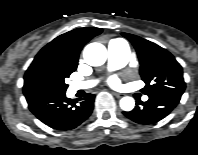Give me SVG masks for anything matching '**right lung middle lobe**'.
<instances>
[{"mask_svg":"<svg viewBox=\"0 0 198 155\" xmlns=\"http://www.w3.org/2000/svg\"><path fill=\"white\" fill-rule=\"evenodd\" d=\"M76 69L60 61H43L28 68L23 91L29 95L47 92H66L65 79Z\"/></svg>","mask_w":198,"mask_h":155,"instance_id":"right-lung-middle-lobe-1","label":"right lung middle lobe"}]
</instances>
